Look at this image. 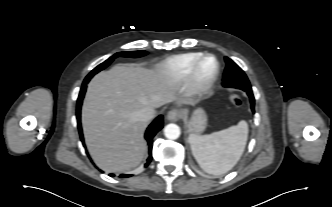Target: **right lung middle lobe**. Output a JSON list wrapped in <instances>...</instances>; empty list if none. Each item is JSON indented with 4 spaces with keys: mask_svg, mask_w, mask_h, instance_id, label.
<instances>
[{
    "mask_svg": "<svg viewBox=\"0 0 332 207\" xmlns=\"http://www.w3.org/2000/svg\"><path fill=\"white\" fill-rule=\"evenodd\" d=\"M147 52L146 51H130V52H118L116 54H114L113 56H111L109 59H107L105 62L101 63L100 65H98L96 68H94L85 78V82H89V80L99 71L105 69L108 65H110V63L117 57L121 56V57H133V58H137V57H141L146 55Z\"/></svg>",
    "mask_w": 332,
    "mask_h": 207,
    "instance_id": "1",
    "label": "right lung middle lobe"
}]
</instances>
